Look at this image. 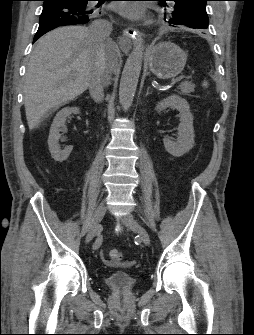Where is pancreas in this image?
<instances>
[{
	"mask_svg": "<svg viewBox=\"0 0 254 335\" xmlns=\"http://www.w3.org/2000/svg\"><path fill=\"white\" fill-rule=\"evenodd\" d=\"M195 85L191 82L185 81L179 85L180 94L191 96V93L194 92Z\"/></svg>",
	"mask_w": 254,
	"mask_h": 335,
	"instance_id": "1",
	"label": "pancreas"
}]
</instances>
